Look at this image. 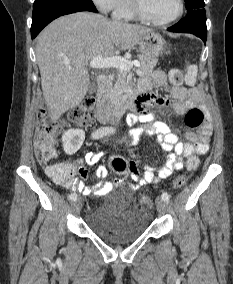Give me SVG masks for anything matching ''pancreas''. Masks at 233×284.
I'll list each match as a JSON object with an SVG mask.
<instances>
[{
	"instance_id": "pancreas-1",
	"label": "pancreas",
	"mask_w": 233,
	"mask_h": 284,
	"mask_svg": "<svg viewBox=\"0 0 233 284\" xmlns=\"http://www.w3.org/2000/svg\"><path fill=\"white\" fill-rule=\"evenodd\" d=\"M140 66L138 68V72L141 75H148L152 73L154 66L156 65V60L151 58H147L143 55L139 56ZM127 71L117 70L115 76H112L111 82L107 92L105 94V98L109 102L111 107L122 106L127 103L129 99L128 85L126 83Z\"/></svg>"
}]
</instances>
